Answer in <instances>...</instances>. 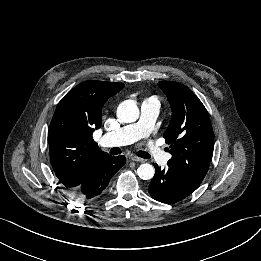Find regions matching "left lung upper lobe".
Returning a JSON list of instances; mask_svg holds the SVG:
<instances>
[{
	"mask_svg": "<svg viewBox=\"0 0 261 261\" xmlns=\"http://www.w3.org/2000/svg\"><path fill=\"white\" fill-rule=\"evenodd\" d=\"M172 117L164 138L170 144L172 168L189 187L196 189L204 179L213 154L214 136L208 112L199 98L186 86L161 81Z\"/></svg>",
	"mask_w": 261,
	"mask_h": 261,
	"instance_id": "1",
	"label": "left lung upper lobe"
}]
</instances>
